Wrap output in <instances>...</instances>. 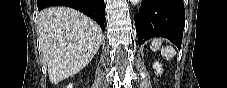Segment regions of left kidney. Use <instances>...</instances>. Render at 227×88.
I'll list each match as a JSON object with an SVG mask.
<instances>
[{"instance_id":"left-kidney-1","label":"left kidney","mask_w":227,"mask_h":88,"mask_svg":"<svg viewBox=\"0 0 227 88\" xmlns=\"http://www.w3.org/2000/svg\"><path fill=\"white\" fill-rule=\"evenodd\" d=\"M153 68L156 69L157 75L162 73L161 64L159 62L156 61L153 64Z\"/></svg>"}]
</instances>
